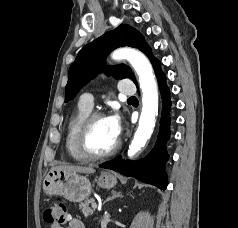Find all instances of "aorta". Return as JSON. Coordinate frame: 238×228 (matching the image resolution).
I'll list each match as a JSON object with an SVG mask.
<instances>
[{
    "label": "aorta",
    "mask_w": 238,
    "mask_h": 228,
    "mask_svg": "<svg viewBox=\"0 0 238 228\" xmlns=\"http://www.w3.org/2000/svg\"><path fill=\"white\" fill-rule=\"evenodd\" d=\"M114 60H127L139 76L142 91V111L139 125L129 145L128 156L133 157L150 139L158 112V86L150 61L140 51L120 48L112 53Z\"/></svg>",
    "instance_id": "aorta-1"
}]
</instances>
